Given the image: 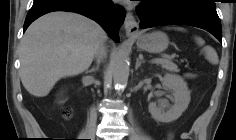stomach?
I'll use <instances>...</instances> for the list:
<instances>
[{
  "mask_svg": "<svg viewBox=\"0 0 236 140\" xmlns=\"http://www.w3.org/2000/svg\"><path fill=\"white\" fill-rule=\"evenodd\" d=\"M137 46L150 53H160L167 49L169 39L167 35L160 31L136 36Z\"/></svg>",
  "mask_w": 236,
  "mask_h": 140,
  "instance_id": "stomach-1",
  "label": "stomach"
}]
</instances>
